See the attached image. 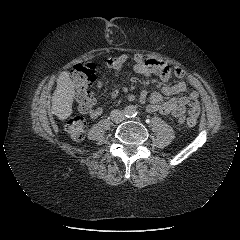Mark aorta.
I'll return each instance as SVG.
<instances>
[{"mask_svg": "<svg viewBox=\"0 0 240 240\" xmlns=\"http://www.w3.org/2000/svg\"><path fill=\"white\" fill-rule=\"evenodd\" d=\"M137 109L133 105H128L124 109V115L129 118H133L137 115Z\"/></svg>", "mask_w": 240, "mask_h": 240, "instance_id": "1", "label": "aorta"}]
</instances>
